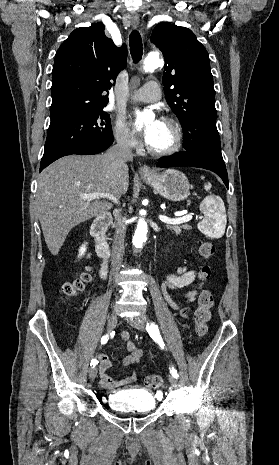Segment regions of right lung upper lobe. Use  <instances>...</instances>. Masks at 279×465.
Masks as SVG:
<instances>
[{
  "instance_id": "obj_1",
  "label": "right lung upper lobe",
  "mask_w": 279,
  "mask_h": 465,
  "mask_svg": "<svg viewBox=\"0 0 279 465\" xmlns=\"http://www.w3.org/2000/svg\"><path fill=\"white\" fill-rule=\"evenodd\" d=\"M126 57V45L116 47L102 23L75 29L55 56L50 124L105 107L106 92L126 67Z\"/></svg>"
}]
</instances>
